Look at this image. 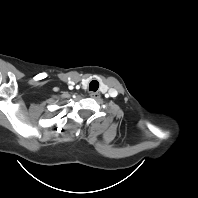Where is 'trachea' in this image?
<instances>
[{"label": "trachea", "instance_id": "1", "mask_svg": "<svg viewBox=\"0 0 198 198\" xmlns=\"http://www.w3.org/2000/svg\"><path fill=\"white\" fill-rule=\"evenodd\" d=\"M99 88V83L96 80H93L89 84V91L96 92Z\"/></svg>", "mask_w": 198, "mask_h": 198}]
</instances>
